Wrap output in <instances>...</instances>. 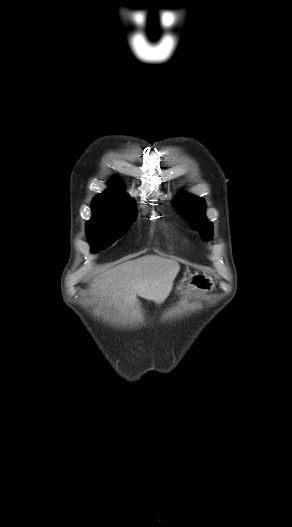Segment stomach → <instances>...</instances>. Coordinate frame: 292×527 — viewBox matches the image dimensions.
I'll return each instance as SVG.
<instances>
[{"label":"stomach","instance_id":"1","mask_svg":"<svg viewBox=\"0 0 292 527\" xmlns=\"http://www.w3.org/2000/svg\"><path fill=\"white\" fill-rule=\"evenodd\" d=\"M190 281L199 289L208 290L213 287V282L202 276L191 277Z\"/></svg>","mask_w":292,"mask_h":527}]
</instances>
